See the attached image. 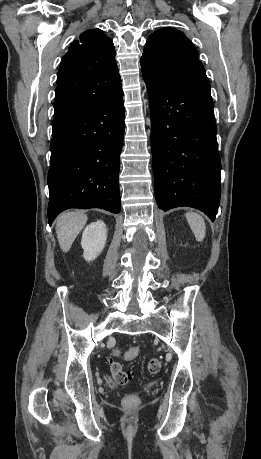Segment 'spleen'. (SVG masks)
Wrapping results in <instances>:
<instances>
[{
    "instance_id": "spleen-1",
    "label": "spleen",
    "mask_w": 261,
    "mask_h": 459,
    "mask_svg": "<svg viewBox=\"0 0 261 459\" xmlns=\"http://www.w3.org/2000/svg\"><path fill=\"white\" fill-rule=\"evenodd\" d=\"M185 216L196 240L198 242L203 241L206 236V224L204 218L195 212H188Z\"/></svg>"
}]
</instances>
